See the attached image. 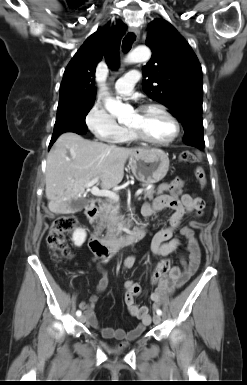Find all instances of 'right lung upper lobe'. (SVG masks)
Here are the masks:
<instances>
[{
    "label": "right lung upper lobe",
    "instance_id": "1",
    "mask_svg": "<svg viewBox=\"0 0 247 385\" xmlns=\"http://www.w3.org/2000/svg\"><path fill=\"white\" fill-rule=\"evenodd\" d=\"M125 24L117 22L116 26L98 28L66 67L60 86L61 96H79L95 98V68L104 56L107 64L113 68L119 65V46L125 31Z\"/></svg>",
    "mask_w": 247,
    "mask_h": 385
}]
</instances>
